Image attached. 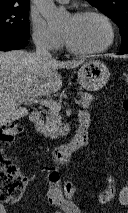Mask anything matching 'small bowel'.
Returning <instances> with one entry per match:
<instances>
[{
	"mask_svg": "<svg viewBox=\"0 0 128 213\" xmlns=\"http://www.w3.org/2000/svg\"><path fill=\"white\" fill-rule=\"evenodd\" d=\"M80 116L90 119V115L86 111L80 112ZM41 171L46 175L48 181L47 202L57 208L54 213H81L74 203H67L63 198L59 172L55 168H43ZM0 213H8L2 203H0Z\"/></svg>",
	"mask_w": 128,
	"mask_h": 213,
	"instance_id": "1",
	"label": "small bowel"
}]
</instances>
